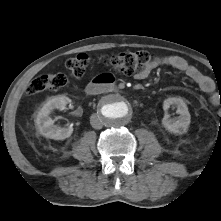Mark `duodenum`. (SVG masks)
I'll use <instances>...</instances> for the list:
<instances>
[{"label":"duodenum","mask_w":221,"mask_h":221,"mask_svg":"<svg viewBox=\"0 0 221 221\" xmlns=\"http://www.w3.org/2000/svg\"><path fill=\"white\" fill-rule=\"evenodd\" d=\"M116 89L117 88L113 84L112 80L106 76H99L87 85L86 93L88 95H97L105 92H112Z\"/></svg>","instance_id":"duodenum-1"}]
</instances>
